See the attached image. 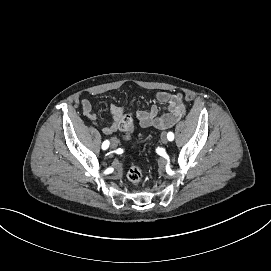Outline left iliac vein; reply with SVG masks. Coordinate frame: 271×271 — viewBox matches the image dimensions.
Returning <instances> with one entry per match:
<instances>
[{
	"label": "left iliac vein",
	"instance_id": "1",
	"mask_svg": "<svg viewBox=\"0 0 271 271\" xmlns=\"http://www.w3.org/2000/svg\"><path fill=\"white\" fill-rule=\"evenodd\" d=\"M161 141H162V143H164V144H167V143H168V137H167L166 132H163V133L161 134Z\"/></svg>",
	"mask_w": 271,
	"mask_h": 271
}]
</instances>
